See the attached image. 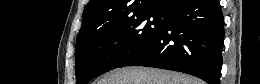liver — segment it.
Masks as SVG:
<instances>
[{
  "label": "liver",
  "mask_w": 260,
  "mask_h": 84,
  "mask_svg": "<svg viewBox=\"0 0 260 84\" xmlns=\"http://www.w3.org/2000/svg\"><path fill=\"white\" fill-rule=\"evenodd\" d=\"M96 84H204L196 77L151 67H123L113 70Z\"/></svg>",
  "instance_id": "1"
}]
</instances>
